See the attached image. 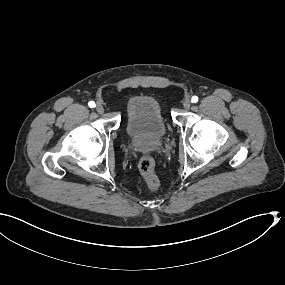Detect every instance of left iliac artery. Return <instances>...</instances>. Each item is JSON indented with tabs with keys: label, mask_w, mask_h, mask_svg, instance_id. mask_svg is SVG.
<instances>
[{
	"label": "left iliac artery",
	"mask_w": 285,
	"mask_h": 285,
	"mask_svg": "<svg viewBox=\"0 0 285 285\" xmlns=\"http://www.w3.org/2000/svg\"><path fill=\"white\" fill-rule=\"evenodd\" d=\"M191 102H192V103L198 102V97H197V96H193V97L191 98Z\"/></svg>",
	"instance_id": "obj_1"
}]
</instances>
